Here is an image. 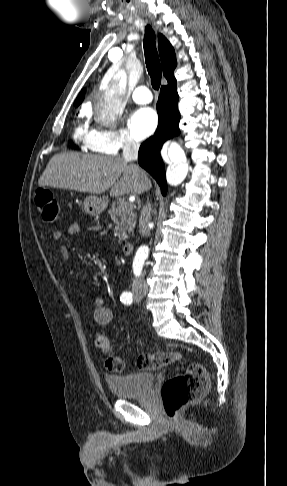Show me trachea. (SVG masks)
Instances as JSON below:
<instances>
[{"label":"trachea","mask_w":287,"mask_h":486,"mask_svg":"<svg viewBox=\"0 0 287 486\" xmlns=\"http://www.w3.org/2000/svg\"><path fill=\"white\" fill-rule=\"evenodd\" d=\"M156 35L150 26L145 28L144 37V53H145V63L148 73L151 78L152 87L155 90L160 88L162 70L160 65V60L156 48Z\"/></svg>","instance_id":"3493384b"}]
</instances>
